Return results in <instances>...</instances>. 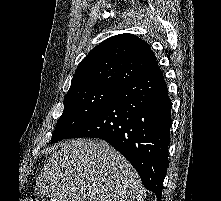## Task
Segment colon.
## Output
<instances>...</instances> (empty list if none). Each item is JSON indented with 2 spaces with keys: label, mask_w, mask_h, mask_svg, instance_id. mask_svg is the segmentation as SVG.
<instances>
[{
  "label": "colon",
  "mask_w": 221,
  "mask_h": 201,
  "mask_svg": "<svg viewBox=\"0 0 221 201\" xmlns=\"http://www.w3.org/2000/svg\"><path fill=\"white\" fill-rule=\"evenodd\" d=\"M23 201H39V200L36 199V198L33 197V196H28V197H26Z\"/></svg>",
  "instance_id": "obj_1"
}]
</instances>
